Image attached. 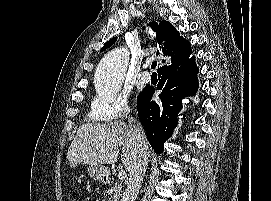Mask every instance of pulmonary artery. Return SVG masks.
I'll return each mask as SVG.
<instances>
[{"instance_id": "1", "label": "pulmonary artery", "mask_w": 271, "mask_h": 201, "mask_svg": "<svg viewBox=\"0 0 271 201\" xmlns=\"http://www.w3.org/2000/svg\"><path fill=\"white\" fill-rule=\"evenodd\" d=\"M147 64L144 65V68H147ZM138 79L140 82L142 83H148L151 79L150 74L147 71H142L139 75H138Z\"/></svg>"}]
</instances>
